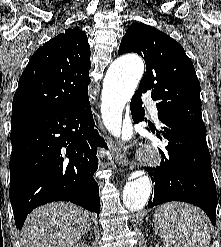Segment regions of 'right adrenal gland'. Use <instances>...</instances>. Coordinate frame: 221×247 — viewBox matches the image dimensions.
I'll use <instances>...</instances> for the list:
<instances>
[{"label": "right adrenal gland", "mask_w": 221, "mask_h": 247, "mask_svg": "<svg viewBox=\"0 0 221 247\" xmlns=\"http://www.w3.org/2000/svg\"><path fill=\"white\" fill-rule=\"evenodd\" d=\"M90 232V234H92V228H91V224L88 227V230L86 231V233Z\"/></svg>", "instance_id": "right-adrenal-gland-1"}]
</instances>
